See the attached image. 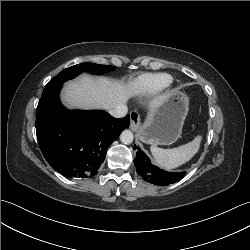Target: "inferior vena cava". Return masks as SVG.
I'll return each instance as SVG.
<instances>
[{"label": "inferior vena cava", "mask_w": 250, "mask_h": 250, "mask_svg": "<svg viewBox=\"0 0 250 250\" xmlns=\"http://www.w3.org/2000/svg\"><path fill=\"white\" fill-rule=\"evenodd\" d=\"M128 109L126 105L118 106L109 110V114L115 118H122L127 115Z\"/></svg>", "instance_id": "inferior-vena-cava-1"}]
</instances>
